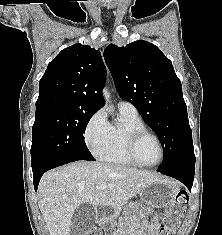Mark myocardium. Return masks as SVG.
Returning <instances> with one entry per match:
<instances>
[{
  "mask_svg": "<svg viewBox=\"0 0 222 235\" xmlns=\"http://www.w3.org/2000/svg\"><path fill=\"white\" fill-rule=\"evenodd\" d=\"M145 137H152L157 142L160 148V157L155 163L152 164H146L141 162L137 155L138 145ZM126 154L134 165L140 167H154L163 161L165 156V150L160 138L155 133L145 128V129H136L130 132L126 142Z\"/></svg>",
  "mask_w": 222,
  "mask_h": 235,
  "instance_id": "myocardium-1",
  "label": "myocardium"
}]
</instances>
